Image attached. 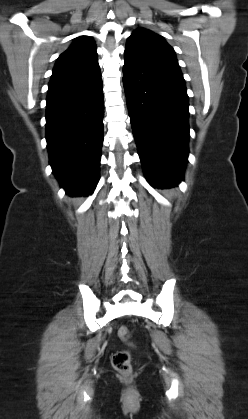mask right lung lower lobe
I'll return each mask as SVG.
<instances>
[{"mask_svg": "<svg viewBox=\"0 0 248 419\" xmlns=\"http://www.w3.org/2000/svg\"><path fill=\"white\" fill-rule=\"evenodd\" d=\"M46 140L53 173L71 196L92 193L99 181L104 102L98 63L51 79Z\"/></svg>", "mask_w": 248, "mask_h": 419, "instance_id": "1", "label": "right lung lower lobe"}]
</instances>
